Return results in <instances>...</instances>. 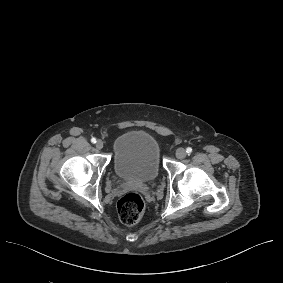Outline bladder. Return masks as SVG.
Returning a JSON list of instances; mask_svg holds the SVG:
<instances>
[{
  "label": "bladder",
  "instance_id": "1",
  "mask_svg": "<svg viewBox=\"0 0 283 283\" xmlns=\"http://www.w3.org/2000/svg\"><path fill=\"white\" fill-rule=\"evenodd\" d=\"M160 162L158 143L145 132H126L115 141L113 167L123 179L151 182L160 172Z\"/></svg>",
  "mask_w": 283,
  "mask_h": 283
}]
</instances>
